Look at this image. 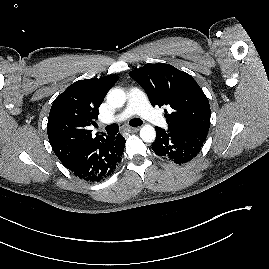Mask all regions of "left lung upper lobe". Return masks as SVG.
<instances>
[{
	"label": "left lung upper lobe",
	"instance_id": "left-lung-upper-lobe-1",
	"mask_svg": "<svg viewBox=\"0 0 269 269\" xmlns=\"http://www.w3.org/2000/svg\"><path fill=\"white\" fill-rule=\"evenodd\" d=\"M129 75L145 89L153 106L171 108V113L165 110L168 131L208 132L209 101L191 75L165 63L146 64Z\"/></svg>",
	"mask_w": 269,
	"mask_h": 269
}]
</instances>
